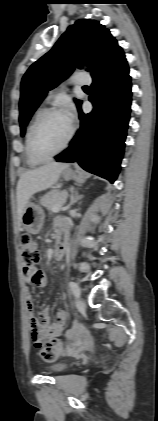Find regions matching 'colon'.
Listing matches in <instances>:
<instances>
[{"label":"colon","mask_w":158,"mask_h":421,"mask_svg":"<svg viewBox=\"0 0 158 421\" xmlns=\"http://www.w3.org/2000/svg\"><path fill=\"white\" fill-rule=\"evenodd\" d=\"M20 248L24 268H35V266L40 260V253L37 243L32 239V237L29 234H23L20 237ZM62 351V340L58 338H52L46 346L41 348L40 355L44 361L54 362L61 355Z\"/></svg>","instance_id":"5ec220e1"}]
</instances>
